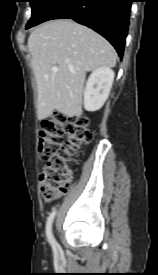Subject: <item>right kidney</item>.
Instances as JSON below:
<instances>
[{"label":"right kidney","mask_w":158,"mask_h":275,"mask_svg":"<svg viewBox=\"0 0 158 275\" xmlns=\"http://www.w3.org/2000/svg\"><path fill=\"white\" fill-rule=\"evenodd\" d=\"M115 73L109 67L95 69L88 78L84 92L87 111L99 110L108 98Z\"/></svg>","instance_id":"1"}]
</instances>
